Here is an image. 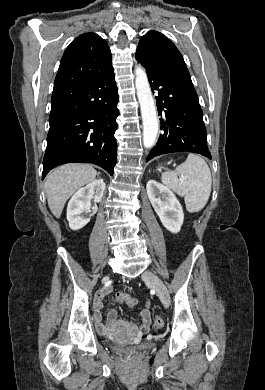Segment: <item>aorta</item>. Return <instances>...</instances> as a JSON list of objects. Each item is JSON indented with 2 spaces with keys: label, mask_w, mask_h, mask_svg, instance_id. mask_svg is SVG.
<instances>
[{
  "label": "aorta",
  "mask_w": 265,
  "mask_h": 390,
  "mask_svg": "<svg viewBox=\"0 0 265 390\" xmlns=\"http://www.w3.org/2000/svg\"><path fill=\"white\" fill-rule=\"evenodd\" d=\"M135 75V86L143 121V145L145 148H151L155 144L159 127L156 107L145 70L137 66Z\"/></svg>",
  "instance_id": "aorta-1"
}]
</instances>
